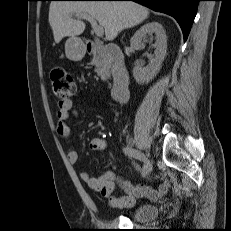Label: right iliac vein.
<instances>
[{
	"instance_id": "right-iliac-vein-1",
	"label": "right iliac vein",
	"mask_w": 231,
	"mask_h": 231,
	"mask_svg": "<svg viewBox=\"0 0 231 231\" xmlns=\"http://www.w3.org/2000/svg\"><path fill=\"white\" fill-rule=\"evenodd\" d=\"M146 164L148 165L149 168L152 169V162H151L150 160H147V161H146Z\"/></svg>"
}]
</instances>
